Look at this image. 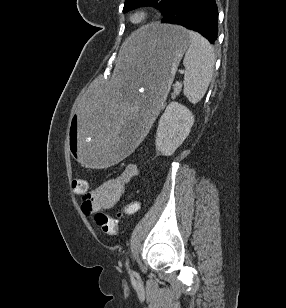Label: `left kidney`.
<instances>
[{
	"mask_svg": "<svg viewBox=\"0 0 286 308\" xmlns=\"http://www.w3.org/2000/svg\"><path fill=\"white\" fill-rule=\"evenodd\" d=\"M194 124L192 112L178 102L170 103L160 118L156 149L164 156L172 155L183 143Z\"/></svg>",
	"mask_w": 286,
	"mask_h": 308,
	"instance_id": "1",
	"label": "left kidney"
}]
</instances>
